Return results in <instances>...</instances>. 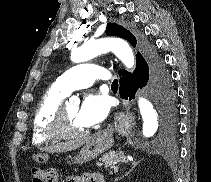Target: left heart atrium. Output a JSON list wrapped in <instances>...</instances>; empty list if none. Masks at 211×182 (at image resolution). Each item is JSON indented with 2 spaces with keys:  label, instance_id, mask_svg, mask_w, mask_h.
Returning <instances> with one entry per match:
<instances>
[{
  "label": "left heart atrium",
  "instance_id": "obj_1",
  "mask_svg": "<svg viewBox=\"0 0 211 182\" xmlns=\"http://www.w3.org/2000/svg\"><path fill=\"white\" fill-rule=\"evenodd\" d=\"M109 111V99L102 93H89L85 96L77 118L85 127H91L103 121Z\"/></svg>",
  "mask_w": 211,
  "mask_h": 182
}]
</instances>
